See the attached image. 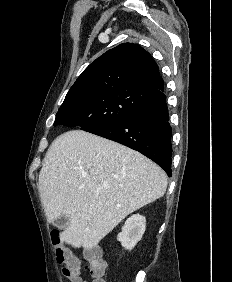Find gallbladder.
Segmentation results:
<instances>
[{
  "instance_id": "obj_1",
  "label": "gallbladder",
  "mask_w": 232,
  "mask_h": 282,
  "mask_svg": "<svg viewBox=\"0 0 232 282\" xmlns=\"http://www.w3.org/2000/svg\"><path fill=\"white\" fill-rule=\"evenodd\" d=\"M69 224V218L65 215L60 216L57 218L54 222L53 225L60 230L65 229Z\"/></svg>"
}]
</instances>
